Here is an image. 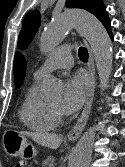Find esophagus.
<instances>
[{
	"label": "esophagus",
	"instance_id": "obj_1",
	"mask_svg": "<svg viewBox=\"0 0 125 167\" xmlns=\"http://www.w3.org/2000/svg\"><path fill=\"white\" fill-rule=\"evenodd\" d=\"M85 44L87 46L88 52H89V61H88V71H89V89L87 93L86 103L84 106V109L82 111L81 116L77 120L75 126L69 131L67 134V138L69 140H76L82 131L84 130L86 123L88 121V117L90 114L93 98H94V92H95V63H94V56L92 53L91 48L89 47L88 43L85 41Z\"/></svg>",
	"mask_w": 125,
	"mask_h": 167
}]
</instances>
